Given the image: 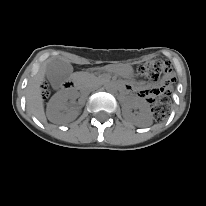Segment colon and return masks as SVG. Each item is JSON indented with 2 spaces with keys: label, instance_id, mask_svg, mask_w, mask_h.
Instances as JSON below:
<instances>
[{
  "label": "colon",
  "instance_id": "1",
  "mask_svg": "<svg viewBox=\"0 0 206 206\" xmlns=\"http://www.w3.org/2000/svg\"><path fill=\"white\" fill-rule=\"evenodd\" d=\"M140 73L149 80L163 82V85L154 91L159 98L156 99L152 106L153 117L157 121H161L167 115L169 110L168 92L166 87L173 81L172 68L169 62L161 59L146 62L140 68ZM43 94L47 95V87L44 86Z\"/></svg>",
  "mask_w": 206,
  "mask_h": 206
}]
</instances>
